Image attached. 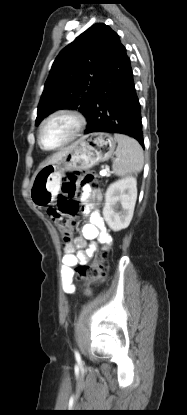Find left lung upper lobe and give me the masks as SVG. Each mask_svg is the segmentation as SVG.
I'll return each mask as SVG.
<instances>
[{"label":"left lung upper lobe","mask_w":187,"mask_h":415,"mask_svg":"<svg viewBox=\"0 0 187 415\" xmlns=\"http://www.w3.org/2000/svg\"><path fill=\"white\" fill-rule=\"evenodd\" d=\"M119 36L105 24H95L56 57L45 83L36 125L59 109H78L89 119L96 85Z\"/></svg>","instance_id":"5c2ea615"}]
</instances>
